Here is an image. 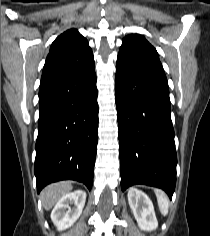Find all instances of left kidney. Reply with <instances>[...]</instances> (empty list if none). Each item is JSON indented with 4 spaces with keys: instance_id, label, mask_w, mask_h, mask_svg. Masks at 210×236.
<instances>
[{
    "instance_id": "1",
    "label": "left kidney",
    "mask_w": 210,
    "mask_h": 236,
    "mask_svg": "<svg viewBox=\"0 0 210 236\" xmlns=\"http://www.w3.org/2000/svg\"><path fill=\"white\" fill-rule=\"evenodd\" d=\"M128 202L141 230L152 231L158 227L153 204L145 193L131 188L128 191Z\"/></svg>"
}]
</instances>
